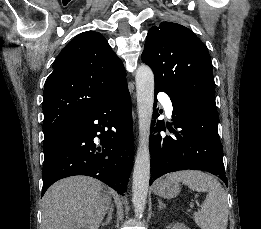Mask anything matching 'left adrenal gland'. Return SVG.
Segmentation results:
<instances>
[{"instance_id": "1", "label": "left adrenal gland", "mask_w": 261, "mask_h": 229, "mask_svg": "<svg viewBox=\"0 0 261 229\" xmlns=\"http://www.w3.org/2000/svg\"><path fill=\"white\" fill-rule=\"evenodd\" d=\"M158 203H159V211H161V209H166V205H163V201H161V199H159Z\"/></svg>"}]
</instances>
